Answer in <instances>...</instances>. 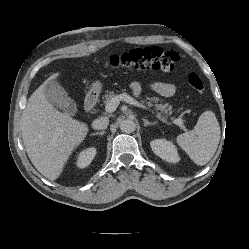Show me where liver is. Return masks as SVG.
<instances>
[{"mask_svg": "<svg viewBox=\"0 0 249 249\" xmlns=\"http://www.w3.org/2000/svg\"><path fill=\"white\" fill-rule=\"evenodd\" d=\"M51 75L28 99L21 116L22 139L35 168L50 180L57 179L73 150L88 133L86 123L59 112L46 99L45 85L57 78Z\"/></svg>", "mask_w": 249, "mask_h": 249, "instance_id": "obj_1", "label": "liver"}]
</instances>
